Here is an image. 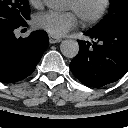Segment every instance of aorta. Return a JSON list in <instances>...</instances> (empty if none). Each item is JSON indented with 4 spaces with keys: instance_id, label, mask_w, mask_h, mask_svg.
<instances>
[{
    "instance_id": "obj_1",
    "label": "aorta",
    "mask_w": 128,
    "mask_h": 128,
    "mask_svg": "<svg viewBox=\"0 0 128 128\" xmlns=\"http://www.w3.org/2000/svg\"><path fill=\"white\" fill-rule=\"evenodd\" d=\"M50 9L60 10L64 8L66 0H44ZM61 53L67 58H74L79 53V44L75 40H64L60 44Z\"/></svg>"
}]
</instances>
